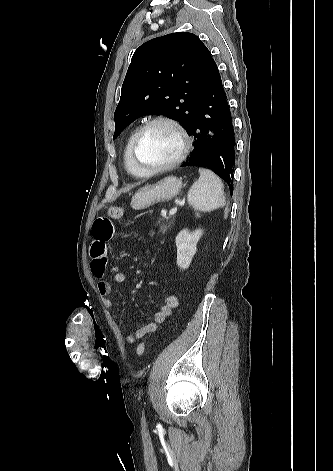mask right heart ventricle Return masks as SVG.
Masks as SVG:
<instances>
[{
    "label": "right heart ventricle",
    "mask_w": 333,
    "mask_h": 471,
    "mask_svg": "<svg viewBox=\"0 0 333 471\" xmlns=\"http://www.w3.org/2000/svg\"><path fill=\"white\" fill-rule=\"evenodd\" d=\"M138 131V127L132 129L130 133L127 136L124 149H123V163L126 171L131 174L132 176L135 177H144L146 175H143L133 164L132 158H131V145L132 141L134 139V136L136 132Z\"/></svg>",
    "instance_id": "obj_1"
}]
</instances>
